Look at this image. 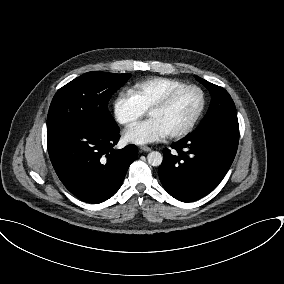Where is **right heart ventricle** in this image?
<instances>
[{
  "mask_svg": "<svg viewBox=\"0 0 284 284\" xmlns=\"http://www.w3.org/2000/svg\"><path fill=\"white\" fill-rule=\"evenodd\" d=\"M183 85L185 83L178 79L152 77L137 83L131 91L146 109H150L169 92Z\"/></svg>",
  "mask_w": 284,
  "mask_h": 284,
  "instance_id": "e07e8e85",
  "label": "right heart ventricle"
}]
</instances>
